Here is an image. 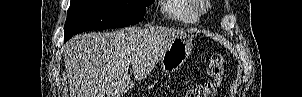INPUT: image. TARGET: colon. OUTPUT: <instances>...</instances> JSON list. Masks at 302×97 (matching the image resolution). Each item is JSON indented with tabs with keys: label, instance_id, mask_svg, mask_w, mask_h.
<instances>
[{
	"label": "colon",
	"instance_id": "colon-1",
	"mask_svg": "<svg viewBox=\"0 0 302 97\" xmlns=\"http://www.w3.org/2000/svg\"><path fill=\"white\" fill-rule=\"evenodd\" d=\"M224 56L215 53L211 56L208 73L210 80L186 92V97H213L221 87L224 76Z\"/></svg>",
	"mask_w": 302,
	"mask_h": 97
}]
</instances>
